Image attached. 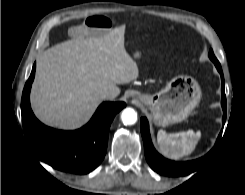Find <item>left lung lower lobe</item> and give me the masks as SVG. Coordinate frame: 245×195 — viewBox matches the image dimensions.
<instances>
[{"instance_id": "1", "label": "left lung lower lobe", "mask_w": 245, "mask_h": 195, "mask_svg": "<svg viewBox=\"0 0 245 195\" xmlns=\"http://www.w3.org/2000/svg\"><path fill=\"white\" fill-rule=\"evenodd\" d=\"M217 70L221 75V92H222V100L221 105L223 108V123L226 120V96L224 89V77L221 69V65H215ZM141 134L144 142V151L145 157L150 165V167L157 173L165 176H184L194 172L197 169V165L202 160L197 159L193 161L187 162H175L168 159H165L154 149V146L151 142V137L149 133V125L146 118H141Z\"/></svg>"}]
</instances>
